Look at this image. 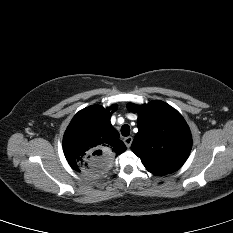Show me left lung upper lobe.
Masks as SVG:
<instances>
[{"mask_svg":"<svg viewBox=\"0 0 233 233\" xmlns=\"http://www.w3.org/2000/svg\"><path fill=\"white\" fill-rule=\"evenodd\" d=\"M127 109L138 113L139 131L131 149L146 169L155 175L178 170L192 147L191 133L181 114L159 100L143 106L129 103Z\"/></svg>","mask_w":233,"mask_h":233,"instance_id":"obj_1","label":"left lung upper lobe"}]
</instances>
